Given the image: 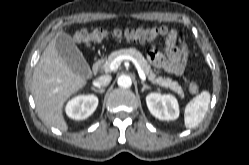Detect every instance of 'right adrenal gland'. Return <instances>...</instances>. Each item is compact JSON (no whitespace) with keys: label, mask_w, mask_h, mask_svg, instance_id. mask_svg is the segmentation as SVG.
I'll use <instances>...</instances> for the list:
<instances>
[{"label":"right adrenal gland","mask_w":249,"mask_h":165,"mask_svg":"<svg viewBox=\"0 0 249 165\" xmlns=\"http://www.w3.org/2000/svg\"><path fill=\"white\" fill-rule=\"evenodd\" d=\"M91 89H92L94 92H97V93H100V94H102V93L105 92V89H104V88L96 89V88L92 87Z\"/></svg>","instance_id":"1"}]
</instances>
